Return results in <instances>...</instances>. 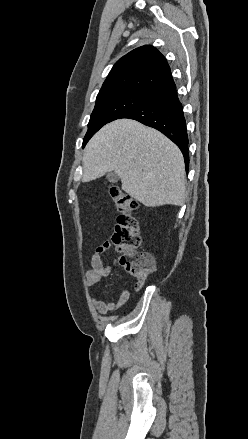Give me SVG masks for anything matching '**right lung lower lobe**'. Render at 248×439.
<instances>
[{
  "label": "right lung lower lobe",
  "instance_id": "98d812e1",
  "mask_svg": "<svg viewBox=\"0 0 248 439\" xmlns=\"http://www.w3.org/2000/svg\"><path fill=\"white\" fill-rule=\"evenodd\" d=\"M121 118L137 120L166 135L180 148L188 171V135L183 107L178 99L175 84L150 96Z\"/></svg>",
  "mask_w": 248,
  "mask_h": 439
}]
</instances>
